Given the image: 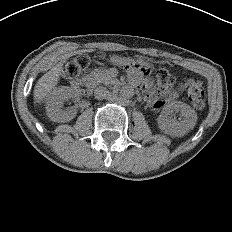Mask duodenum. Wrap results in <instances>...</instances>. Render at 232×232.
<instances>
[{
	"label": "duodenum",
	"instance_id": "410a0bca",
	"mask_svg": "<svg viewBox=\"0 0 232 232\" xmlns=\"http://www.w3.org/2000/svg\"><path fill=\"white\" fill-rule=\"evenodd\" d=\"M74 87L83 92H90L92 84L89 78H82L74 83Z\"/></svg>",
	"mask_w": 232,
	"mask_h": 232
}]
</instances>
